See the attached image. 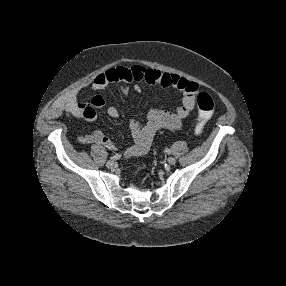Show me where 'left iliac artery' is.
Segmentation results:
<instances>
[{"label": "left iliac artery", "mask_w": 286, "mask_h": 286, "mask_svg": "<svg viewBox=\"0 0 286 286\" xmlns=\"http://www.w3.org/2000/svg\"><path fill=\"white\" fill-rule=\"evenodd\" d=\"M165 152L167 153V154H171V151L169 150V149H165Z\"/></svg>", "instance_id": "1"}]
</instances>
